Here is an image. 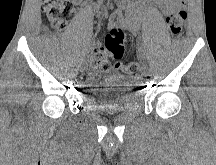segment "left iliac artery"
Instances as JSON below:
<instances>
[{"label":"left iliac artery","instance_id":"1","mask_svg":"<svg viewBox=\"0 0 216 165\" xmlns=\"http://www.w3.org/2000/svg\"><path fill=\"white\" fill-rule=\"evenodd\" d=\"M138 52H139V55L142 57V58H144L145 59V54H144V52H143V50H142V48L139 46V48H138Z\"/></svg>","mask_w":216,"mask_h":165}]
</instances>
